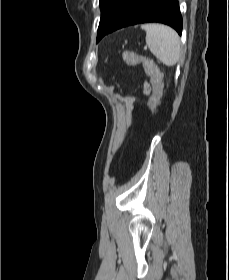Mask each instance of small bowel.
<instances>
[{
	"mask_svg": "<svg viewBox=\"0 0 229 280\" xmlns=\"http://www.w3.org/2000/svg\"><path fill=\"white\" fill-rule=\"evenodd\" d=\"M150 63H151V62H150ZM143 68H144L146 74L149 75V73H148V71H147V66H146V65H143Z\"/></svg>",
	"mask_w": 229,
	"mask_h": 280,
	"instance_id": "small-bowel-1",
	"label": "small bowel"
}]
</instances>
